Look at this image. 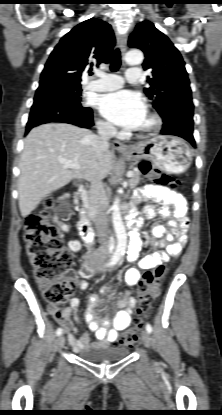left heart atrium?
<instances>
[{
  "instance_id": "left-heart-atrium-1",
  "label": "left heart atrium",
  "mask_w": 222,
  "mask_h": 415,
  "mask_svg": "<svg viewBox=\"0 0 222 415\" xmlns=\"http://www.w3.org/2000/svg\"><path fill=\"white\" fill-rule=\"evenodd\" d=\"M101 114L110 122L127 129H136L146 115L142 96L134 91L120 90L102 97Z\"/></svg>"
}]
</instances>
